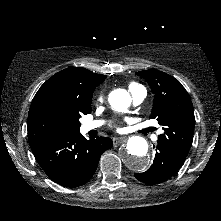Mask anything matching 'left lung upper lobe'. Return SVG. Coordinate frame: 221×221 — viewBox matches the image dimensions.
<instances>
[{
    "instance_id": "5c2ea615",
    "label": "left lung upper lobe",
    "mask_w": 221,
    "mask_h": 221,
    "mask_svg": "<svg viewBox=\"0 0 221 221\" xmlns=\"http://www.w3.org/2000/svg\"><path fill=\"white\" fill-rule=\"evenodd\" d=\"M154 94L150 119H157L164 132L157 143L181 164L184 163L193 141L195 117L193 105L185 88L174 77L159 70L139 71Z\"/></svg>"
}]
</instances>
